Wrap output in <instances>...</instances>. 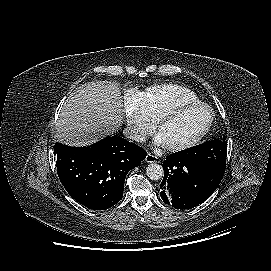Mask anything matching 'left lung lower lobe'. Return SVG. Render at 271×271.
<instances>
[{"label":"left lung lower lobe","mask_w":271,"mask_h":271,"mask_svg":"<svg viewBox=\"0 0 271 271\" xmlns=\"http://www.w3.org/2000/svg\"><path fill=\"white\" fill-rule=\"evenodd\" d=\"M163 169L160 196L166 204L177 209H190L201 204L215 191L224 174L177 152L166 158Z\"/></svg>","instance_id":"obj_1"}]
</instances>
